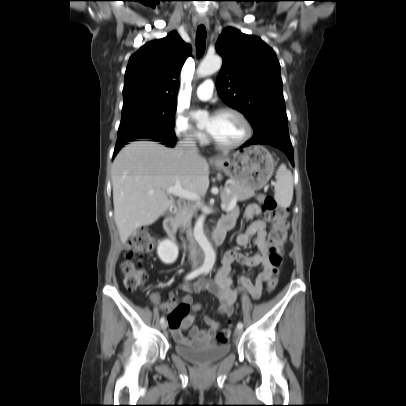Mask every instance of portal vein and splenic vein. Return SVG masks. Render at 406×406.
I'll return each mask as SVG.
<instances>
[{
  "label": "portal vein and splenic vein",
  "mask_w": 406,
  "mask_h": 406,
  "mask_svg": "<svg viewBox=\"0 0 406 406\" xmlns=\"http://www.w3.org/2000/svg\"><path fill=\"white\" fill-rule=\"evenodd\" d=\"M165 191L167 193L174 194L176 196H179V197L187 199V200H192V201L200 200V197L198 194H196L194 192L186 191L180 185L167 187L165 189ZM150 193H154V191H151ZM236 203H237V199L233 198L228 206L222 204L221 208L225 209L226 212H230L236 206Z\"/></svg>",
  "instance_id": "18ae733b"
}]
</instances>
